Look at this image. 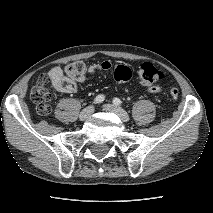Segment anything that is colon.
<instances>
[{"mask_svg":"<svg viewBox=\"0 0 213 213\" xmlns=\"http://www.w3.org/2000/svg\"><path fill=\"white\" fill-rule=\"evenodd\" d=\"M91 72V67L83 61H74L66 65V75L74 81L85 80ZM114 79L118 83H125L132 77L131 69L126 65H117L113 71ZM137 79L141 85L155 86L163 78V73L160 69L149 62L141 64L137 69ZM47 78L40 77L36 85L31 91V98L36 104L37 111L42 114H48L51 110L50 99L51 95L47 89ZM169 94L173 99H177L179 91L177 88H171Z\"/></svg>","mask_w":213,"mask_h":213,"instance_id":"colon-1","label":"colon"}]
</instances>
